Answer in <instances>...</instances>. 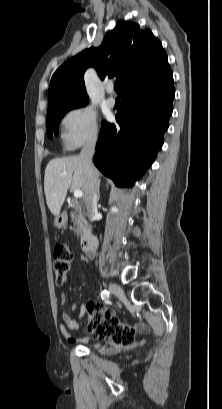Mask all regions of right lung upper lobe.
<instances>
[{
	"instance_id": "obj_1",
	"label": "right lung upper lobe",
	"mask_w": 222,
	"mask_h": 409,
	"mask_svg": "<svg viewBox=\"0 0 222 409\" xmlns=\"http://www.w3.org/2000/svg\"><path fill=\"white\" fill-rule=\"evenodd\" d=\"M89 67H94L102 80L107 75L116 76L121 98L142 81L152 86L154 77L171 71L161 42L149 29L119 21L100 47L82 51L55 71L48 91V111L87 103L84 73Z\"/></svg>"
}]
</instances>
